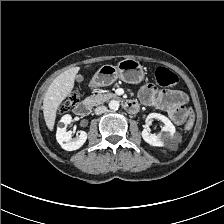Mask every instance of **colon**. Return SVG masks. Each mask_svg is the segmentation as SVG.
<instances>
[{"label":"colon","mask_w":224,"mask_h":224,"mask_svg":"<svg viewBox=\"0 0 224 224\" xmlns=\"http://www.w3.org/2000/svg\"><path fill=\"white\" fill-rule=\"evenodd\" d=\"M155 77L161 86L173 87L178 83V77L176 74L163 66H160L156 69ZM75 102L76 100L74 98L68 99L64 105V109L73 106ZM184 115L186 120L185 128L190 129L192 126V118L190 111L186 108H184Z\"/></svg>","instance_id":"obj_1"}]
</instances>
